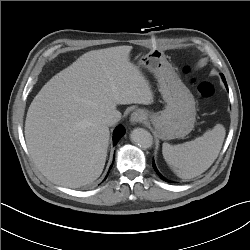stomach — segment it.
<instances>
[{"mask_svg":"<svg viewBox=\"0 0 250 250\" xmlns=\"http://www.w3.org/2000/svg\"><path fill=\"white\" fill-rule=\"evenodd\" d=\"M140 65L154 73L166 102L164 110L148 114L156 135L163 140L185 137L193 130L196 121L193 95L178 78L162 52L150 51L140 58Z\"/></svg>","mask_w":250,"mask_h":250,"instance_id":"1","label":"stomach"}]
</instances>
